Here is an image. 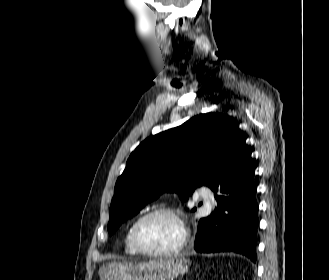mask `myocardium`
<instances>
[{
	"label": "myocardium",
	"mask_w": 329,
	"mask_h": 280,
	"mask_svg": "<svg viewBox=\"0 0 329 280\" xmlns=\"http://www.w3.org/2000/svg\"><path fill=\"white\" fill-rule=\"evenodd\" d=\"M158 214H166V215L171 216L177 222V224L180 228V231H181V238H180V241L178 242V244L176 246H174L173 248H170L167 250H162V251L151 250V249H147V248L143 247L140 244V242L138 240V235H137L140 225L146 219H148L152 216L158 215ZM188 238H189V232L187 230V227L185 225V222H184L181 214L179 213L178 210H176L172 207H168V206L156 207V208H153V209L145 212L144 214H142L135 220V222L133 223V225L131 227V231H130L131 243H132L133 247L135 248V250L142 255L151 256V257H168V256H173V255L180 253L185 248V246L188 242Z\"/></svg>",
	"instance_id": "myocardium-1"
}]
</instances>
